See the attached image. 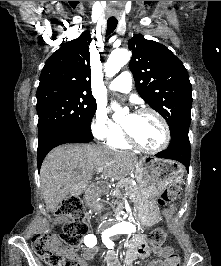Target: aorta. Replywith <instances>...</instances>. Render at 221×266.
Listing matches in <instances>:
<instances>
[{"mask_svg":"<svg viewBox=\"0 0 221 266\" xmlns=\"http://www.w3.org/2000/svg\"><path fill=\"white\" fill-rule=\"evenodd\" d=\"M131 58V53L125 48L114 50L105 63L106 76L112 77L126 65ZM112 109L115 111L113 117L119 118L124 114V110L116 103H113ZM114 233L132 232L136 229L135 225L131 222H122L108 227Z\"/></svg>","mask_w":221,"mask_h":266,"instance_id":"1","label":"aorta"}]
</instances>
